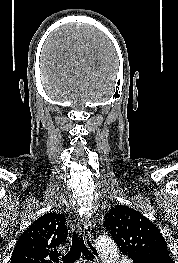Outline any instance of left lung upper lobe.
Listing matches in <instances>:
<instances>
[{
	"label": "left lung upper lobe",
	"instance_id": "obj_1",
	"mask_svg": "<svg viewBox=\"0 0 178 263\" xmlns=\"http://www.w3.org/2000/svg\"><path fill=\"white\" fill-rule=\"evenodd\" d=\"M103 224L121 252L133 263L150 259L173 263L160 230L138 211L115 206L106 214Z\"/></svg>",
	"mask_w": 178,
	"mask_h": 263
}]
</instances>
